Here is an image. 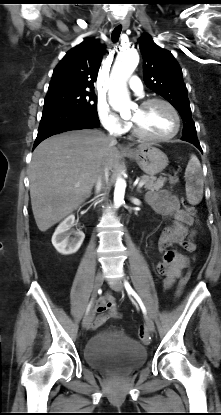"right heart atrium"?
I'll return each instance as SVG.
<instances>
[{"label": "right heart atrium", "mask_w": 221, "mask_h": 415, "mask_svg": "<svg viewBox=\"0 0 221 415\" xmlns=\"http://www.w3.org/2000/svg\"><path fill=\"white\" fill-rule=\"evenodd\" d=\"M97 115L104 129L113 136H121L129 129V123L114 113L105 102H98Z\"/></svg>", "instance_id": "1"}]
</instances>
